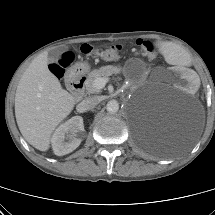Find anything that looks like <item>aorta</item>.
Here are the masks:
<instances>
[{"mask_svg": "<svg viewBox=\"0 0 215 215\" xmlns=\"http://www.w3.org/2000/svg\"><path fill=\"white\" fill-rule=\"evenodd\" d=\"M106 109L111 114L116 113L119 110V103L116 100H111L107 103Z\"/></svg>", "mask_w": 215, "mask_h": 215, "instance_id": "aorta-1", "label": "aorta"}]
</instances>
